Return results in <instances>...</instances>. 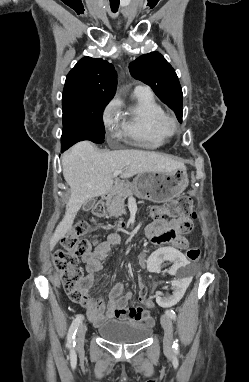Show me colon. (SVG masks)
Instances as JSON below:
<instances>
[{"mask_svg": "<svg viewBox=\"0 0 249 382\" xmlns=\"http://www.w3.org/2000/svg\"><path fill=\"white\" fill-rule=\"evenodd\" d=\"M104 212L103 204H97L91 214L85 219L78 221L73 231L64 239L63 250H59L55 254L54 264L57 270L62 273L61 282L64 291L68 297L74 302H80L85 299L84 292V271L79 266V256L89 252L94 244L81 236L88 230L91 224H96L102 217ZM195 216L192 201L188 196H180L170 200L164 205L154 206L151 215L155 219H165L173 215ZM162 242V240H161ZM186 257L195 262L200 257V250L192 247L186 250ZM137 281L141 280L140 276L136 277ZM147 298V289L142 287L139 293L140 301Z\"/></svg>", "mask_w": 249, "mask_h": 382, "instance_id": "1", "label": "colon"}]
</instances>
